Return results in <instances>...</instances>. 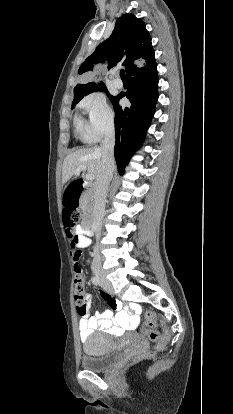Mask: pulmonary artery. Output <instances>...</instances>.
Instances as JSON below:
<instances>
[{
  "label": "pulmonary artery",
  "mask_w": 233,
  "mask_h": 414,
  "mask_svg": "<svg viewBox=\"0 0 233 414\" xmlns=\"http://www.w3.org/2000/svg\"><path fill=\"white\" fill-rule=\"evenodd\" d=\"M115 79L113 80V85L116 87V88H122V86H123V83H122V81L117 77V74H115Z\"/></svg>",
  "instance_id": "pulmonary-artery-1"
}]
</instances>
